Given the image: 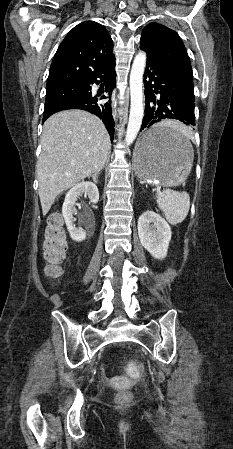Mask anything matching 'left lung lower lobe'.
<instances>
[{"label":"left lung lower lobe","mask_w":233,"mask_h":449,"mask_svg":"<svg viewBox=\"0 0 233 449\" xmlns=\"http://www.w3.org/2000/svg\"><path fill=\"white\" fill-rule=\"evenodd\" d=\"M144 84L146 106L141 131L162 119L195 125L193 84L148 59ZM181 141V137L173 133H153L145 137L142 149L178 145Z\"/></svg>","instance_id":"left-lung-lower-lobe-1"}]
</instances>
